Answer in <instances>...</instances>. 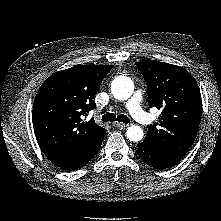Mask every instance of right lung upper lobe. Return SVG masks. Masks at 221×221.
I'll list each match as a JSON object with an SVG mask.
<instances>
[{"label":"right lung upper lobe","mask_w":221,"mask_h":221,"mask_svg":"<svg viewBox=\"0 0 221 221\" xmlns=\"http://www.w3.org/2000/svg\"><path fill=\"white\" fill-rule=\"evenodd\" d=\"M112 65H80L51 75L33 105V127L45 155L78 156L98 144L106 130L83 116L96 108L93 98Z\"/></svg>","instance_id":"cb5924a9"}]
</instances>
